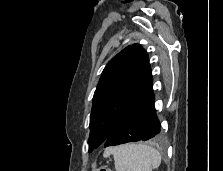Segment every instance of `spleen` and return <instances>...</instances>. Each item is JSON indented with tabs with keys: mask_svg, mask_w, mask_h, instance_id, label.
Listing matches in <instances>:
<instances>
[{
	"mask_svg": "<svg viewBox=\"0 0 223 171\" xmlns=\"http://www.w3.org/2000/svg\"><path fill=\"white\" fill-rule=\"evenodd\" d=\"M116 171H152L161 164V154L144 144H126L111 148Z\"/></svg>",
	"mask_w": 223,
	"mask_h": 171,
	"instance_id": "spleen-1",
	"label": "spleen"
}]
</instances>
